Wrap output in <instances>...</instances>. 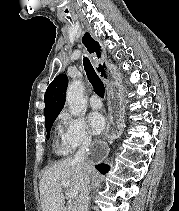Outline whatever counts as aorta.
<instances>
[{"label":"aorta","mask_w":179,"mask_h":211,"mask_svg":"<svg viewBox=\"0 0 179 211\" xmlns=\"http://www.w3.org/2000/svg\"><path fill=\"white\" fill-rule=\"evenodd\" d=\"M66 101L73 116H79L86 108L84 101V86L81 81L70 83L66 93Z\"/></svg>","instance_id":"1"}]
</instances>
